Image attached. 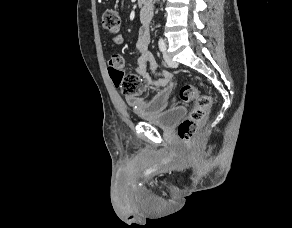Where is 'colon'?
<instances>
[{
    "mask_svg": "<svg viewBox=\"0 0 292 228\" xmlns=\"http://www.w3.org/2000/svg\"><path fill=\"white\" fill-rule=\"evenodd\" d=\"M121 19L115 9L108 8L102 14V27L105 32L115 34L119 31ZM124 60L120 55H113L109 60V74L114 84L120 88L127 97H136L142 90V80L135 74H125L123 71ZM179 98L185 103L194 102V107L189 115L179 124L178 135L182 142L191 144L198 128L206 121L211 98L199 92L191 85L181 88Z\"/></svg>",
    "mask_w": 292,
    "mask_h": 228,
    "instance_id": "1",
    "label": "colon"
}]
</instances>
